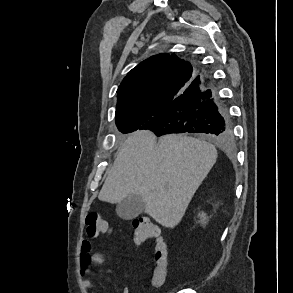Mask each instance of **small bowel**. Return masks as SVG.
Masks as SVG:
<instances>
[{
  "label": "small bowel",
  "mask_w": 293,
  "mask_h": 293,
  "mask_svg": "<svg viewBox=\"0 0 293 293\" xmlns=\"http://www.w3.org/2000/svg\"><path fill=\"white\" fill-rule=\"evenodd\" d=\"M110 232V231H109ZM106 232L104 234H108ZM92 245L89 240L83 239L80 244L79 266L83 275L90 273L92 266H102L105 263V258L101 253L92 252ZM83 286L88 292L95 293V287L89 279L83 280ZM128 288H124L122 293H128Z\"/></svg>",
  "instance_id": "1"
}]
</instances>
